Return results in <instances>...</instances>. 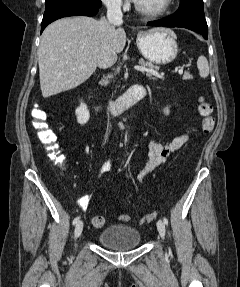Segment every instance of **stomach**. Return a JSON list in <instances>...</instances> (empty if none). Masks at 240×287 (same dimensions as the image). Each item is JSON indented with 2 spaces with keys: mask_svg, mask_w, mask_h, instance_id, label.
Masks as SVG:
<instances>
[{
  "mask_svg": "<svg viewBox=\"0 0 240 287\" xmlns=\"http://www.w3.org/2000/svg\"><path fill=\"white\" fill-rule=\"evenodd\" d=\"M136 43L142 56L156 64L170 63L178 53L176 35L168 28L140 32L137 35Z\"/></svg>",
  "mask_w": 240,
  "mask_h": 287,
  "instance_id": "stomach-1",
  "label": "stomach"
}]
</instances>
